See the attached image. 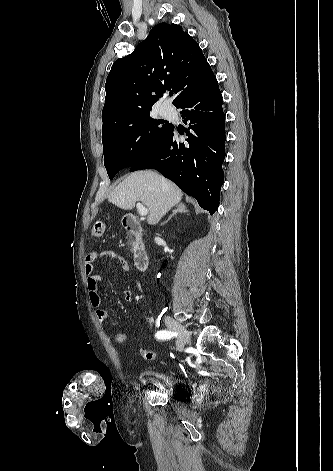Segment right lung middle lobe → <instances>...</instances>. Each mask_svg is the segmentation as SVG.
<instances>
[{
  "label": "right lung middle lobe",
  "instance_id": "right-lung-middle-lobe-1",
  "mask_svg": "<svg viewBox=\"0 0 333 471\" xmlns=\"http://www.w3.org/2000/svg\"><path fill=\"white\" fill-rule=\"evenodd\" d=\"M170 128L171 124L153 119L149 110L102 131L104 165L109 178L113 179L119 170L142 160L162 141Z\"/></svg>",
  "mask_w": 333,
  "mask_h": 471
}]
</instances>
